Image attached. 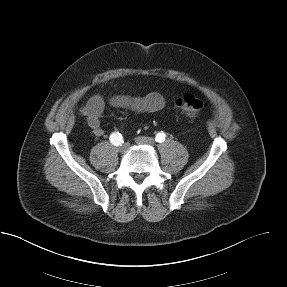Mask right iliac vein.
<instances>
[{
  "mask_svg": "<svg viewBox=\"0 0 287 287\" xmlns=\"http://www.w3.org/2000/svg\"><path fill=\"white\" fill-rule=\"evenodd\" d=\"M128 147H129V145L127 143H125V144L120 146L119 151L121 153H125L127 151Z\"/></svg>",
  "mask_w": 287,
  "mask_h": 287,
  "instance_id": "right-iliac-vein-1",
  "label": "right iliac vein"
}]
</instances>
